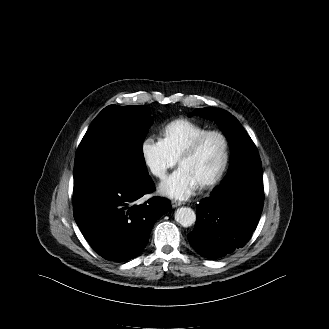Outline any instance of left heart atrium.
<instances>
[{"mask_svg": "<svg viewBox=\"0 0 329 329\" xmlns=\"http://www.w3.org/2000/svg\"><path fill=\"white\" fill-rule=\"evenodd\" d=\"M197 180L183 167H179L159 186V192L170 198L184 200L198 188Z\"/></svg>", "mask_w": 329, "mask_h": 329, "instance_id": "obj_1", "label": "left heart atrium"}]
</instances>
